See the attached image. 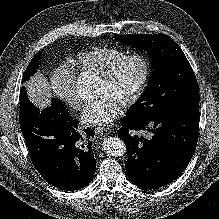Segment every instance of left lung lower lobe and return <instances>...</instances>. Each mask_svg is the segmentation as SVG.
<instances>
[{"instance_id":"left-lung-lower-lobe-1","label":"left lung lower lobe","mask_w":219,"mask_h":219,"mask_svg":"<svg viewBox=\"0 0 219 219\" xmlns=\"http://www.w3.org/2000/svg\"><path fill=\"white\" fill-rule=\"evenodd\" d=\"M118 131L129 154L126 170L138 187L157 189L175 180L188 166L198 140L199 108H188L160 118L125 117ZM129 130H145L149 139Z\"/></svg>"}]
</instances>
